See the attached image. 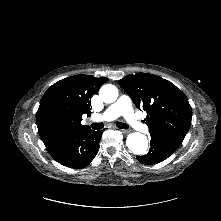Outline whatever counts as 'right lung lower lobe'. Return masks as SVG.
<instances>
[{
    "mask_svg": "<svg viewBox=\"0 0 221 221\" xmlns=\"http://www.w3.org/2000/svg\"><path fill=\"white\" fill-rule=\"evenodd\" d=\"M102 131L91 129L78 133L48 150L60 164L69 168H83L97 155Z\"/></svg>",
    "mask_w": 221,
    "mask_h": 221,
    "instance_id": "98d812e1",
    "label": "right lung lower lobe"
}]
</instances>
